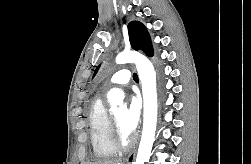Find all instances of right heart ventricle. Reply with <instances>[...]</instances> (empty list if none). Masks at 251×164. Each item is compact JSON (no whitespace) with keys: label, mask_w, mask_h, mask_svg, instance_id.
<instances>
[{"label":"right heart ventricle","mask_w":251,"mask_h":164,"mask_svg":"<svg viewBox=\"0 0 251 164\" xmlns=\"http://www.w3.org/2000/svg\"><path fill=\"white\" fill-rule=\"evenodd\" d=\"M88 125L95 156L98 158L115 156L119 149L114 144L110 115L101 97L95 98L90 105Z\"/></svg>","instance_id":"e07e8e85"}]
</instances>
